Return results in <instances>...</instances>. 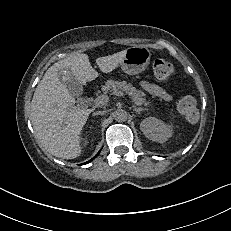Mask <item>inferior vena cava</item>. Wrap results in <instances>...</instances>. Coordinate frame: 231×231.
Returning <instances> with one entry per match:
<instances>
[{"label": "inferior vena cava", "mask_w": 231, "mask_h": 231, "mask_svg": "<svg viewBox=\"0 0 231 231\" xmlns=\"http://www.w3.org/2000/svg\"><path fill=\"white\" fill-rule=\"evenodd\" d=\"M105 114V111H96L93 113V115H103Z\"/></svg>", "instance_id": "602c4592"}]
</instances>
